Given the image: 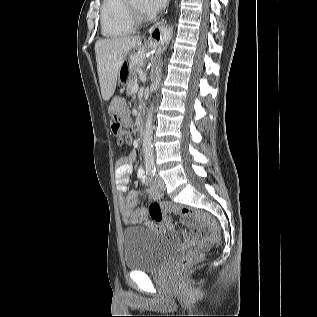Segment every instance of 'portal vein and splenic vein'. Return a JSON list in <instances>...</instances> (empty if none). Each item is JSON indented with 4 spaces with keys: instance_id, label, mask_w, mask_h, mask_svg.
<instances>
[{
    "instance_id": "1",
    "label": "portal vein and splenic vein",
    "mask_w": 317,
    "mask_h": 317,
    "mask_svg": "<svg viewBox=\"0 0 317 317\" xmlns=\"http://www.w3.org/2000/svg\"><path fill=\"white\" fill-rule=\"evenodd\" d=\"M139 85L137 83H135V85L132 88V92L136 93L138 91Z\"/></svg>"
}]
</instances>
